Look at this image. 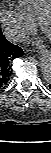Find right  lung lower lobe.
Masks as SVG:
<instances>
[{"mask_svg": "<svg viewBox=\"0 0 51 153\" xmlns=\"http://www.w3.org/2000/svg\"><path fill=\"white\" fill-rule=\"evenodd\" d=\"M23 50L8 42L0 30V87L5 85L12 73V61L21 57Z\"/></svg>", "mask_w": 51, "mask_h": 153, "instance_id": "obj_1", "label": "right lung lower lobe"}]
</instances>
